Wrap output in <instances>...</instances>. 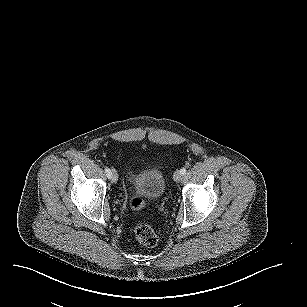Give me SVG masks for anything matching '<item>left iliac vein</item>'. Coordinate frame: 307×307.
I'll return each instance as SVG.
<instances>
[{"label": "left iliac vein", "mask_w": 307, "mask_h": 307, "mask_svg": "<svg viewBox=\"0 0 307 307\" xmlns=\"http://www.w3.org/2000/svg\"><path fill=\"white\" fill-rule=\"evenodd\" d=\"M182 178V173L180 170L175 171L173 179L175 182H179Z\"/></svg>", "instance_id": "left-iliac-vein-1"}]
</instances>
